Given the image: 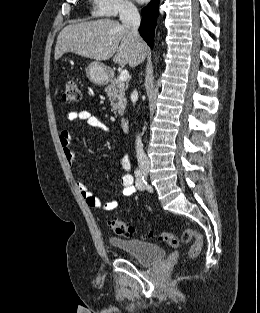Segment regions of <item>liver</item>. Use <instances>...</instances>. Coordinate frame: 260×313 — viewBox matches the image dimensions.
Instances as JSON below:
<instances>
[{
  "instance_id": "liver-1",
  "label": "liver",
  "mask_w": 260,
  "mask_h": 313,
  "mask_svg": "<svg viewBox=\"0 0 260 313\" xmlns=\"http://www.w3.org/2000/svg\"><path fill=\"white\" fill-rule=\"evenodd\" d=\"M146 44L136 39L131 29L111 19L73 23L66 26L58 35L55 47V60L63 54L77 55L105 61H113L123 66L135 67L143 59Z\"/></svg>"
}]
</instances>
